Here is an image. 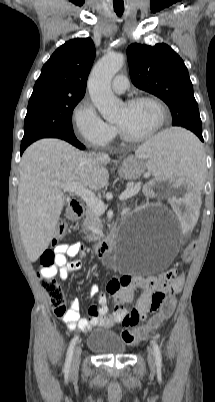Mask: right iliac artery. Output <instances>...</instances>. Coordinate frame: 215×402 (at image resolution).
I'll return each instance as SVG.
<instances>
[{
    "instance_id": "obj_1",
    "label": "right iliac artery",
    "mask_w": 215,
    "mask_h": 402,
    "mask_svg": "<svg viewBox=\"0 0 215 402\" xmlns=\"http://www.w3.org/2000/svg\"><path fill=\"white\" fill-rule=\"evenodd\" d=\"M78 336H75L69 345L68 351H67V355H66V361H65V366H64V374L67 376L69 374L70 371V367H71V362H72V357H73V351H74V347L78 341Z\"/></svg>"
}]
</instances>
